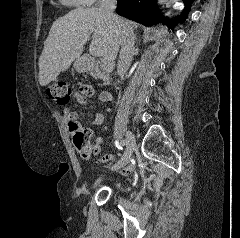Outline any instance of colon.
Returning <instances> with one entry per match:
<instances>
[{"instance_id":"1","label":"colon","mask_w":240,"mask_h":238,"mask_svg":"<svg viewBox=\"0 0 240 238\" xmlns=\"http://www.w3.org/2000/svg\"><path fill=\"white\" fill-rule=\"evenodd\" d=\"M71 92V87L66 83H52L47 86L48 96L59 104H64L69 99ZM69 128L73 133L75 146L83 151L85 155H89L94 147L89 143V139L92 135L91 131L81 129L80 125L75 121L69 123Z\"/></svg>"}]
</instances>
